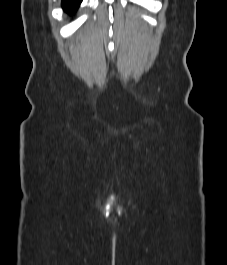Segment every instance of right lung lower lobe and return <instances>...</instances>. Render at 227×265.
I'll use <instances>...</instances> for the list:
<instances>
[{"label": "right lung lower lobe", "instance_id": "obj_1", "mask_svg": "<svg viewBox=\"0 0 227 265\" xmlns=\"http://www.w3.org/2000/svg\"><path fill=\"white\" fill-rule=\"evenodd\" d=\"M81 1L82 0H62V7L66 12L72 13L77 10Z\"/></svg>", "mask_w": 227, "mask_h": 265}]
</instances>
